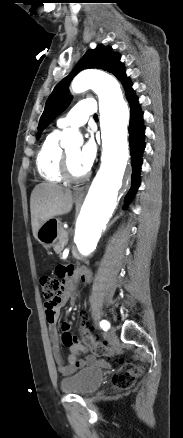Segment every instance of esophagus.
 <instances>
[{"mask_svg": "<svg viewBox=\"0 0 183 438\" xmlns=\"http://www.w3.org/2000/svg\"><path fill=\"white\" fill-rule=\"evenodd\" d=\"M84 186H81V187H78V188H76V190H75V194L77 195V196H82V195H84Z\"/></svg>", "mask_w": 183, "mask_h": 438, "instance_id": "34e87169", "label": "esophagus"}]
</instances>
